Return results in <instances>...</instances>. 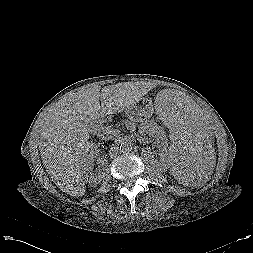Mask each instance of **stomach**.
Here are the masks:
<instances>
[{
  "mask_svg": "<svg viewBox=\"0 0 253 253\" xmlns=\"http://www.w3.org/2000/svg\"><path fill=\"white\" fill-rule=\"evenodd\" d=\"M154 113V106L149 99L136 102L133 106L126 109V116L136 122L148 120Z\"/></svg>",
  "mask_w": 253,
  "mask_h": 253,
  "instance_id": "obj_1",
  "label": "stomach"
}]
</instances>
